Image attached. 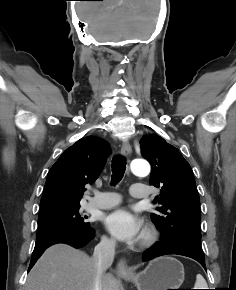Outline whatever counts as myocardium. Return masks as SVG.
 Masks as SVG:
<instances>
[{
  "mask_svg": "<svg viewBox=\"0 0 236 290\" xmlns=\"http://www.w3.org/2000/svg\"><path fill=\"white\" fill-rule=\"evenodd\" d=\"M154 240H155V233L151 229H148L144 232L141 242L143 245H149Z\"/></svg>",
  "mask_w": 236,
  "mask_h": 290,
  "instance_id": "1",
  "label": "myocardium"
}]
</instances>
